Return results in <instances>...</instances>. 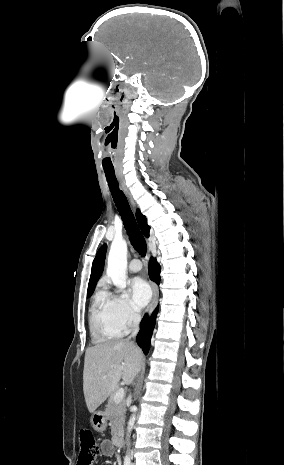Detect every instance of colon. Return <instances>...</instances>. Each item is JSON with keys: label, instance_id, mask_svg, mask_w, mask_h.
Listing matches in <instances>:
<instances>
[{"label": "colon", "instance_id": "obj_1", "mask_svg": "<svg viewBox=\"0 0 284 465\" xmlns=\"http://www.w3.org/2000/svg\"><path fill=\"white\" fill-rule=\"evenodd\" d=\"M80 457L79 465H91L97 452L95 438L90 430L82 429L79 432Z\"/></svg>", "mask_w": 284, "mask_h": 465}]
</instances>
